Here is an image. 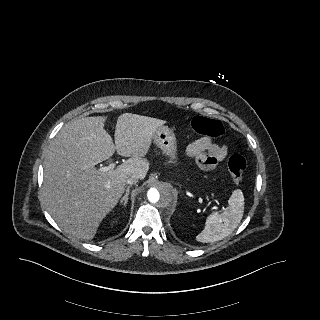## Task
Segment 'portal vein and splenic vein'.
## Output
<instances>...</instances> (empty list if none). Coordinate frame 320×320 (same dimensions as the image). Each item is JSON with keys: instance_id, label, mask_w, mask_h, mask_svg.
Listing matches in <instances>:
<instances>
[{"instance_id": "1", "label": "portal vein and splenic vein", "mask_w": 320, "mask_h": 320, "mask_svg": "<svg viewBox=\"0 0 320 320\" xmlns=\"http://www.w3.org/2000/svg\"><path fill=\"white\" fill-rule=\"evenodd\" d=\"M116 163H110L108 166L102 167L99 169L100 172H108V171H112L115 168ZM218 210L217 206H214L211 208V210ZM225 210V208H223Z\"/></svg>"}]
</instances>
